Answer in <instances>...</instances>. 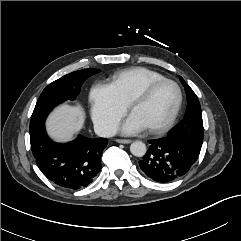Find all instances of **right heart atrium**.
<instances>
[{
    "instance_id": "right-heart-atrium-1",
    "label": "right heart atrium",
    "mask_w": 241,
    "mask_h": 241,
    "mask_svg": "<svg viewBox=\"0 0 241 241\" xmlns=\"http://www.w3.org/2000/svg\"><path fill=\"white\" fill-rule=\"evenodd\" d=\"M91 114L97 130L111 135L128 109L111 84L96 83L90 92Z\"/></svg>"
}]
</instances>
